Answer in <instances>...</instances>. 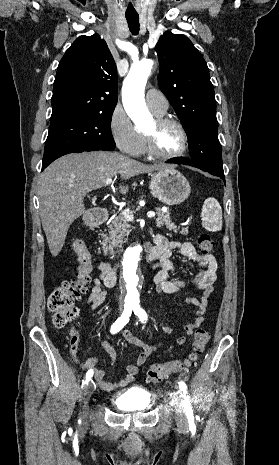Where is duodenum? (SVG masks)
<instances>
[{
	"label": "duodenum",
	"instance_id": "1",
	"mask_svg": "<svg viewBox=\"0 0 279 465\" xmlns=\"http://www.w3.org/2000/svg\"><path fill=\"white\" fill-rule=\"evenodd\" d=\"M109 218V213L106 210L94 211L86 216L85 223L89 227H97L105 223ZM145 251L147 253V260L153 261L158 257L157 249L150 245H145ZM104 282L108 287H113L116 284V272L115 269L109 266L105 272Z\"/></svg>",
	"mask_w": 279,
	"mask_h": 465
}]
</instances>
